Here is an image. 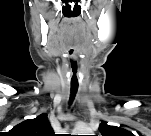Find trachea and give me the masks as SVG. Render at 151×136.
<instances>
[{"label": "trachea", "instance_id": "1", "mask_svg": "<svg viewBox=\"0 0 151 136\" xmlns=\"http://www.w3.org/2000/svg\"><path fill=\"white\" fill-rule=\"evenodd\" d=\"M73 72H76V71H73ZM78 86H79L78 82H77V81H74V80L72 79L71 85H70V91H71L70 102H72V101L74 100L75 95H76L77 90H78Z\"/></svg>", "mask_w": 151, "mask_h": 136}]
</instances>
